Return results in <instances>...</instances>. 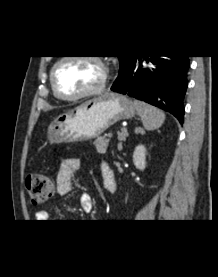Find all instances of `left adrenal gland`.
<instances>
[{"instance_id": "obj_1", "label": "left adrenal gland", "mask_w": 218, "mask_h": 277, "mask_svg": "<svg viewBox=\"0 0 218 277\" xmlns=\"http://www.w3.org/2000/svg\"><path fill=\"white\" fill-rule=\"evenodd\" d=\"M122 136H123V135H121V134L119 135V140H120V141H122V140H124V139H125V138H124V137H122Z\"/></svg>"}]
</instances>
